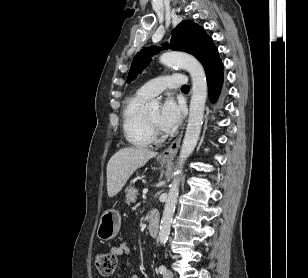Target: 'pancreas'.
<instances>
[{
  "label": "pancreas",
  "instance_id": "1",
  "mask_svg": "<svg viewBox=\"0 0 308 278\" xmlns=\"http://www.w3.org/2000/svg\"><path fill=\"white\" fill-rule=\"evenodd\" d=\"M137 195H138V189L134 187H130L129 189H127L126 203L131 204L133 202H136Z\"/></svg>",
  "mask_w": 308,
  "mask_h": 278
}]
</instances>
